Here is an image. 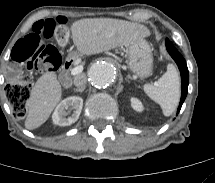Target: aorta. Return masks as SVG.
I'll use <instances>...</instances> for the list:
<instances>
[{"label":"aorta","mask_w":215,"mask_h":183,"mask_svg":"<svg viewBox=\"0 0 215 183\" xmlns=\"http://www.w3.org/2000/svg\"><path fill=\"white\" fill-rule=\"evenodd\" d=\"M116 75V67L107 61L95 62L88 71L90 83L100 89L109 87L114 82Z\"/></svg>","instance_id":"aorta-1"}]
</instances>
